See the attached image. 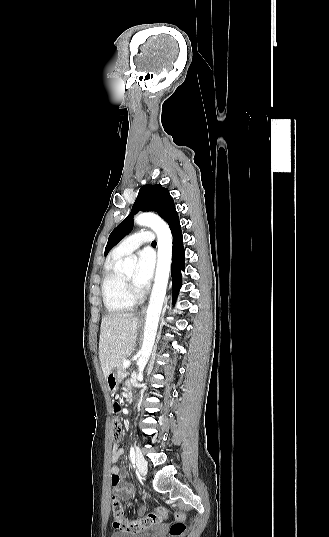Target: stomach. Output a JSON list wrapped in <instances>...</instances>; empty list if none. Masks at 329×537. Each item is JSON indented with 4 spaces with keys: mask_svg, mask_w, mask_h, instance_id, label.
Listing matches in <instances>:
<instances>
[{
    "mask_svg": "<svg viewBox=\"0 0 329 537\" xmlns=\"http://www.w3.org/2000/svg\"><path fill=\"white\" fill-rule=\"evenodd\" d=\"M107 385L108 389L112 392H114L117 389L118 383L120 382V379H118L115 372H111L107 377Z\"/></svg>",
    "mask_w": 329,
    "mask_h": 537,
    "instance_id": "1",
    "label": "stomach"
}]
</instances>
